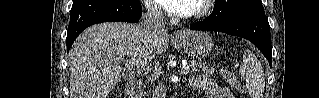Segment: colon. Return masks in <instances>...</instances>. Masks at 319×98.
I'll return each instance as SVG.
<instances>
[{"instance_id": "5ec220e1", "label": "colon", "mask_w": 319, "mask_h": 98, "mask_svg": "<svg viewBox=\"0 0 319 98\" xmlns=\"http://www.w3.org/2000/svg\"><path fill=\"white\" fill-rule=\"evenodd\" d=\"M221 76L240 93L245 92V85L241 81H239L230 70H221Z\"/></svg>"}]
</instances>
